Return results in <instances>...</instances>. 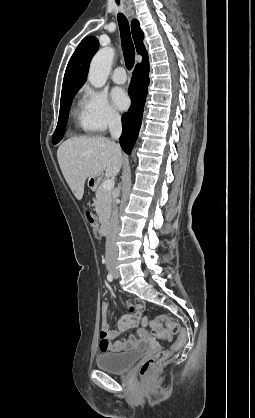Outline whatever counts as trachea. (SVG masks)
Returning a JSON list of instances; mask_svg holds the SVG:
<instances>
[{
  "instance_id": "1",
  "label": "trachea",
  "mask_w": 255,
  "mask_h": 418,
  "mask_svg": "<svg viewBox=\"0 0 255 418\" xmlns=\"http://www.w3.org/2000/svg\"><path fill=\"white\" fill-rule=\"evenodd\" d=\"M116 2L117 4H119V0H116ZM118 24L120 28L125 65L128 70H131L135 62V49L133 41L131 39L129 22L122 13L118 14Z\"/></svg>"
}]
</instances>
